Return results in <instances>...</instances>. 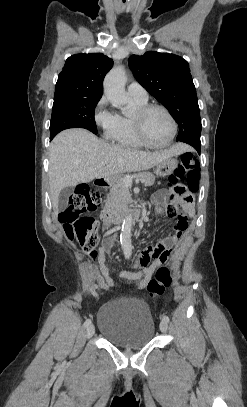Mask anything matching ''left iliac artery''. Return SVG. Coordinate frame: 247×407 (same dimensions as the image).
<instances>
[{
  "instance_id": "left-iliac-artery-1",
  "label": "left iliac artery",
  "mask_w": 247,
  "mask_h": 407,
  "mask_svg": "<svg viewBox=\"0 0 247 407\" xmlns=\"http://www.w3.org/2000/svg\"><path fill=\"white\" fill-rule=\"evenodd\" d=\"M163 320L166 321V322H169V317L167 315H164Z\"/></svg>"
}]
</instances>
